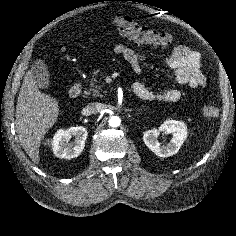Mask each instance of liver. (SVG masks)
<instances>
[{
	"label": "liver",
	"instance_id": "6515ba94",
	"mask_svg": "<svg viewBox=\"0 0 236 236\" xmlns=\"http://www.w3.org/2000/svg\"><path fill=\"white\" fill-rule=\"evenodd\" d=\"M59 115L55 98L39 90L31 70L25 74L16 105V132L21 146L34 163H39L40 143Z\"/></svg>",
	"mask_w": 236,
	"mask_h": 236
}]
</instances>
